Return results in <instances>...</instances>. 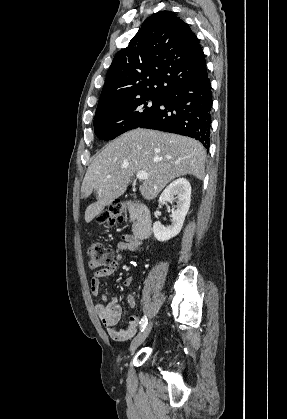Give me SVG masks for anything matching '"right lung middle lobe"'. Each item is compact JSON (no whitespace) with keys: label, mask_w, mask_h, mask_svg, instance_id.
I'll return each mask as SVG.
<instances>
[{"label":"right lung middle lobe","mask_w":287,"mask_h":419,"mask_svg":"<svg viewBox=\"0 0 287 419\" xmlns=\"http://www.w3.org/2000/svg\"><path fill=\"white\" fill-rule=\"evenodd\" d=\"M162 96L150 95L96 111L94 130L103 140H112L124 132L139 127L158 108Z\"/></svg>","instance_id":"obj_1"}]
</instances>
